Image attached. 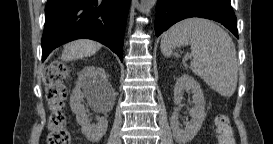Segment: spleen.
<instances>
[{
    "label": "spleen",
    "instance_id": "spleen-1",
    "mask_svg": "<svg viewBox=\"0 0 273 144\" xmlns=\"http://www.w3.org/2000/svg\"><path fill=\"white\" fill-rule=\"evenodd\" d=\"M175 45H191V70L211 89L225 97L234 94L238 81L237 57L226 31L207 19H185L163 34V55L170 56Z\"/></svg>",
    "mask_w": 273,
    "mask_h": 144
}]
</instances>
